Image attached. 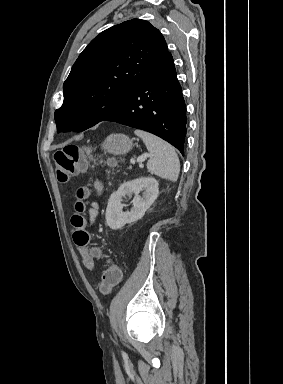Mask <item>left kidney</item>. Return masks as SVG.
I'll use <instances>...</instances> for the list:
<instances>
[{"mask_svg": "<svg viewBox=\"0 0 283 384\" xmlns=\"http://www.w3.org/2000/svg\"><path fill=\"white\" fill-rule=\"evenodd\" d=\"M159 184L155 178H137L132 182H124L117 192H113L110 196L108 206L106 208V224L111 230H120L125 224H133L137 220L143 218L146 210L155 202L159 188ZM142 192V196H139ZM136 194L135 200L131 202L133 208L131 212H122L121 204L124 196Z\"/></svg>", "mask_w": 283, "mask_h": 384, "instance_id": "5707ae66", "label": "left kidney"}]
</instances>
